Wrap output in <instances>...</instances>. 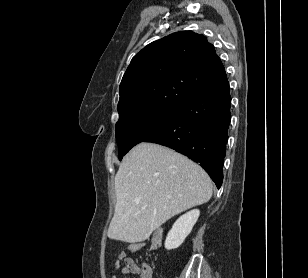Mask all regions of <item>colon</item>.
I'll return each mask as SVG.
<instances>
[{
    "mask_svg": "<svg viewBox=\"0 0 308 278\" xmlns=\"http://www.w3.org/2000/svg\"><path fill=\"white\" fill-rule=\"evenodd\" d=\"M165 236L164 230H156L155 231V238L152 240L151 245L152 247H161V237ZM142 245V242L140 240H137L135 243H128L127 244V252L128 253H137L138 250H140ZM127 267L130 271H137L140 267H138L133 261L128 260Z\"/></svg>",
    "mask_w": 308,
    "mask_h": 278,
    "instance_id": "obj_1",
    "label": "colon"
}]
</instances>
